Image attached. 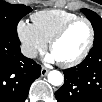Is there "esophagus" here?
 <instances>
[{
	"label": "esophagus",
	"instance_id": "esophagus-1",
	"mask_svg": "<svg viewBox=\"0 0 102 102\" xmlns=\"http://www.w3.org/2000/svg\"><path fill=\"white\" fill-rule=\"evenodd\" d=\"M49 72V69L46 67H42L41 69V76H45Z\"/></svg>",
	"mask_w": 102,
	"mask_h": 102
}]
</instances>
